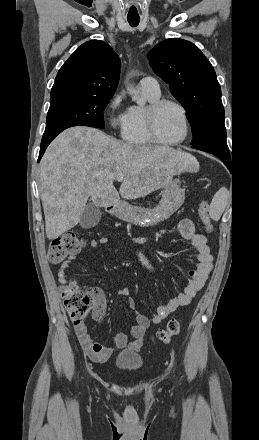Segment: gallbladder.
<instances>
[{"label": "gallbladder", "mask_w": 259, "mask_h": 440, "mask_svg": "<svg viewBox=\"0 0 259 440\" xmlns=\"http://www.w3.org/2000/svg\"><path fill=\"white\" fill-rule=\"evenodd\" d=\"M101 210L93 203H88L81 215L80 226L84 229L95 227L101 219Z\"/></svg>", "instance_id": "gallbladder-1"}]
</instances>
